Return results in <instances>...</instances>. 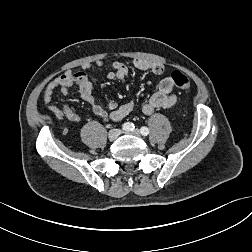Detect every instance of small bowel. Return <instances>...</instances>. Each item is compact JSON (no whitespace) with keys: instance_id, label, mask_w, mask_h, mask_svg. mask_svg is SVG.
Here are the masks:
<instances>
[{"instance_id":"small-bowel-1","label":"small bowel","mask_w":252,"mask_h":252,"mask_svg":"<svg viewBox=\"0 0 252 252\" xmlns=\"http://www.w3.org/2000/svg\"><path fill=\"white\" fill-rule=\"evenodd\" d=\"M98 66L102 65L101 61H97ZM136 69L148 71L158 81V90L142 105V112L151 115L155 110L160 108H170L177 102V96L174 93V83L169 76H165V67L158 62H152L142 59H134L131 62ZM83 70L78 72L66 71L56 77L48 84L44 91V102L51 113L61 119H66L72 123H79L80 116L69 106L62 105L56 107L51 105L56 90H60L64 96L73 93L72 86H76L78 95L90 106L92 112L102 118H110L113 121H120L127 117L135 108V100H131L125 104L119 105L115 101H110L107 107L101 106L92 93L93 83L97 82V78L90 76L87 70L90 64L82 66ZM128 75V67L122 62H114L112 69L107 73V78L112 81H122Z\"/></svg>"}]
</instances>
